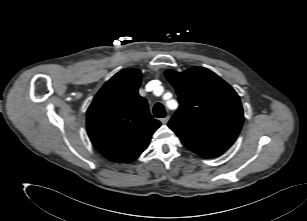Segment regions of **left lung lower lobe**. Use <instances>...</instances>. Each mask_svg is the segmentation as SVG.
<instances>
[{
  "instance_id": "1",
  "label": "left lung lower lobe",
  "mask_w": 307,
  "mask_h": 221,
  "mask_svg": "<svg viewBox=\"0 0 307 221\" xmlns=\"http://www.w3.org/2000/svg\"><path fill=\"white\" fill-rule=\"evenodd\" d=\"M188 149L192 150L193 152H195L196 154H198L199 156L203 157V158H213V157H217L219 155H221L223 152H219V151H214V150H208V149H203V148H199V147H187Z\"/></svg>"
}]
</instances>
